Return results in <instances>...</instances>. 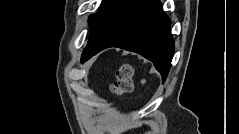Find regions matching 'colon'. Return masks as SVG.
<instances>
[{
  "instance_id": "1",
  "label": "colon",
  "mask_w": 239,
  "mask_h": 134,
  "mask_svg": "<svg viewBox=\"0 0 239 134\" xmlns=\"http://www.w3.org/2000/svg\"><path fill=\"white\" fill-rule=\"evenodd\" d=\"M133 68L130 64L124 63L116 71V80L111 86V91L116 95H123L132 91Z\"/></svg>"
}]
</instances>
